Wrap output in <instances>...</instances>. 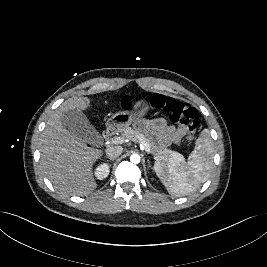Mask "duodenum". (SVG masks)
I'll use <instances>...</instances> for the list:
<instances>
[{
    "mask_svg": "<svg viewBox=\"0 0 267 267\" xmlns=\"http://www.w3.org/2000/svg\"><path fill=\"white\" fill-rule=\"evenodd\" d=\"M114 133V128L112 126H108L104 132H103V136L105 139L110 138Z\"/></svg>",
    "mask_w": 267,
    "mask_h": 267,
    "instance_id": "duodenum-1",
    "label": "duodenum"
}]
</instances>
